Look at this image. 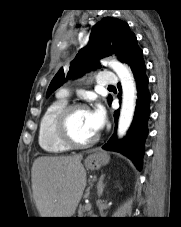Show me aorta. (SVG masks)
Returning a JSON list of instances; mask_svg holds the SVG:
<instances>
[{
    "instance_id": "aorta-1",
    "label": "aorta",
    "mask_w": 181,
    "mask_h": 227,
    "mask_svg": "<svg viewBox=\"0 0 181 227\" xmlns=\"http://www.w3.org/2000/svg\"><path fill=\"white\" fill-rule=\"evenodd\" d=\"M108 65L118 75L122 85V107L118 122V137H123L133 119L136 106V86L130 70L117 60H111Z\"/></svg>"
}]
</instances>
